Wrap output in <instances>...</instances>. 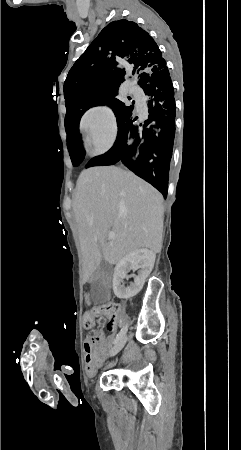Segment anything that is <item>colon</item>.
Masks as SVG:
<instances>
[{
    "label": "colon",
    "mask_w": 241,
    "mask_h": 450,
    "mask_svg": "<svg viewBox=\"0 0 241 450\" xmlns=\"http://www.w3.org/2000/svg\"><path fill=\"white\" fill-rule=\"evenodd\" d=\"M122 307L119 305L117 300L109 301L108 305L97 307L95 310H90L88 313L84 314V317L80 319V322L84 324V328L90 329L93 328V322L98 320V317L104 315L114 316L116 313L121 312Z\"/></svg>",
    "instance_id": "5ec220e1"
}]
</instances>
